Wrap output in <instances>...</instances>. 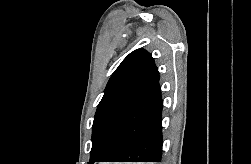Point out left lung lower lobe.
<instances>
[{
    "instance_id": "0a47b994",
    "label": "left lung lower lobe",
    "mask_w": 251,
    "mask_h": 164,
    "mask_svg": "<svg viewBox=\"0 0 251 164\" xmlns=\"http://www.w3.org/2000/svg\"><path fill=\"white\" fill-rule=\"evenodd\" d=\"M162 98L159 80L131 107L101 162H161Z\"/></svg>"
}]
</instances>
